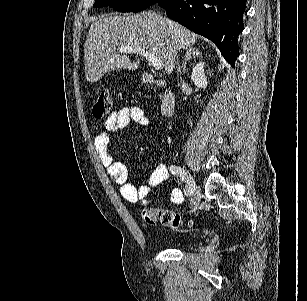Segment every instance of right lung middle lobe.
Wrapping results in <instances>:
<instances>
[{
  "label": "right lung middle lobe",
  "instance_id": "1",
  "mask_svg": "<svg viewBox=\"0 0 307 301\" xmlns=\"http://www.w3.org/2000/svg\"><path fill=\"white\" fill-rule=\"evenodd\" d=\"M158 0H96L93 7L110 6L120 12H139L147 9Z\"/></svg>",
  "mask_w": 307,
  "mask_h": 301
}]
</instances>
